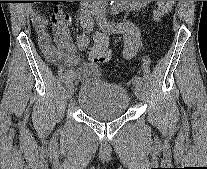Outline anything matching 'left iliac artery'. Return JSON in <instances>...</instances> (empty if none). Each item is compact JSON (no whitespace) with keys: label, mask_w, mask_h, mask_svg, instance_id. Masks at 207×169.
Wrapping results in <instances>:
<instances>
[{"label":"left iliac artery","mask_w":207,"mask_h":169,"mask_svg":"<svg viewBox=\"0 0 207 169\" xmlns=\"http://www.w3.org/2000/svg\"><path fill=\"white\" fill-rule=\"evenodd\" d=\"M105 8L101 7L99 10V14L97 15V20L99 26L106 31L114 32V33H120V35H125V39H130V42H124V49L123 54H125V58L128 60L129 58H132V54H136V49H133V42H131L133 39L135 26H131L128 24H122V23H115L110 22L106 19L105 16ZM137 41L136 39L134 40ZM132 83L134 85H141L143 83L142 78L139 76H135L132 78Z\"/></svg>","instance_id":"1"}]
</instances>
